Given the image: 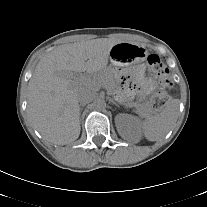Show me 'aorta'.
<instances>
[{
  "mask_svg": "<svg viewBox=\"0 0 207 207\" xmlns=\"http://www.w3.org/2000/svg\"><path fill=\"white\" fill-rule=\"evenodd\" d=\"M95 107L99 110L105 109L106 108V102L104 99L99 98L95 101L94 103Z\"/></svg>",
  "mask_w": 207,
  "mask_h": 207,
  "instance_id": "762f6f07",
  "label": "aorta"
}]
</instances>
